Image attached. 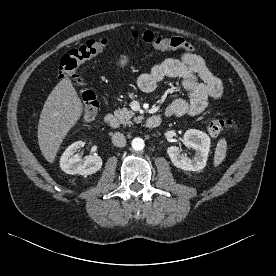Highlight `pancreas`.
<instances>
[{
    "instance_id": "1",
    "label": "pancreas",
    "mask_w": 276,
    "mask_h": 276,
    "mask_svg": "<svg viewBox=\"0 0 276 276\" xmlns=\"http://www.w3.org/2000/svg\"><path fill=\"white\" fill-rule=\"evenodd\" d=\"M114 114L123 124H131V119L136 123H140L143 119V116H135V113L126 107L116 110Z\"/></svg>"
}]
</instances>
